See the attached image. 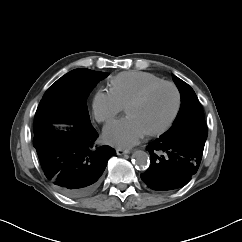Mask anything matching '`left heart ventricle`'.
Segmentation results:
<instances>
[{
  "label": "left heart ventricle",
  "mask_w": 242,
  "mask_h": 242,
  "mask_svg": "<svg viewBox=\"0 0 242 242\" xmlns=\"http://www.w3.org/2000/svg\"><path fill=\"white\" fill-rule=\"evenodd\" d=\"M175 105L173 88L162 85L154 89L144 101L130 107L127 113L148 132L164 125L170 119Z\"/></svg>",
  "instance_id": "b2bd125f"
}]
</instances>
